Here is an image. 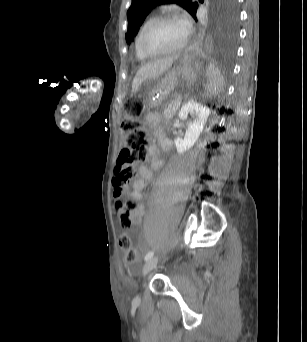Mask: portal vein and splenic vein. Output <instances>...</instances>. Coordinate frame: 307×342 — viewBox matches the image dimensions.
Instances as JSON below:
<instances>
[{"instance_id": "obj_1", "label": "portal vein and splenic vein", "mask_w": 307, "mask_h": 342, "mask_svg": "<svg viewBox=\"0 0 307 342\" xmlns=\"http://www.w3.org/2000/svg\"><path fill=\"white\" fill-rule=\"evenodd\" d=\"M180 107H181V106H180L179 104H175V105H174V108H175V109H179Z\"/></svg>"}]
</instances>
